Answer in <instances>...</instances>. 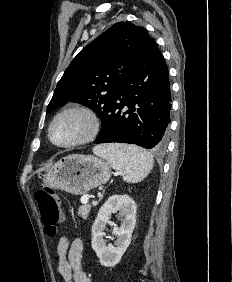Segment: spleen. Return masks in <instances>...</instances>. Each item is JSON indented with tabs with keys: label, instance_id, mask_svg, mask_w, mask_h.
Here are the masks:
<instances>
[{
	"label": "spleen",
	"instance_id": "obj_1",
	"mask_svg": "<svg viewBox=\"0 0 232 282\" xmlns=\"http://www.w3.org/2000/svg\"><path fill=\"white\" fill-rule=\"evenodd\" d=\"M93 152L105 158L117 171L123 173L126 182L135 183L144 179L154 165L153 156L146 150L125 144L97 146Z\"/></svg>",
	"mask_w": 232,
	"mask_h": 282
}]
</instances>
